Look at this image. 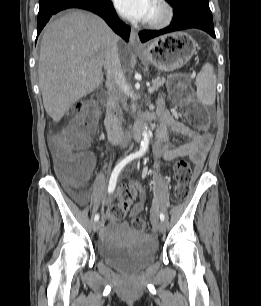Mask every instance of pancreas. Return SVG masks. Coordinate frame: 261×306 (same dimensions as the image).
I'll return each mask as SVG.
<instances>
[{
  "instance_id": "cf45deb5",
  "label": "pancreas",
  "mask_w": 261,
  "mask_h": 306,
  "mask_svg": "<svg viewBox=\"0 0 261 306\" xmlns=\"http://www.w3.org/2000/svg\"><path fill=\"white\" fill-rule=\"evenodd\" d=\"M164 83H165L164 79L157 80V81H152L151 89L153 91L150 92V93H153L154 91H157L160 87H162L164 85Z\"/></svg>"
}]
</instances>
